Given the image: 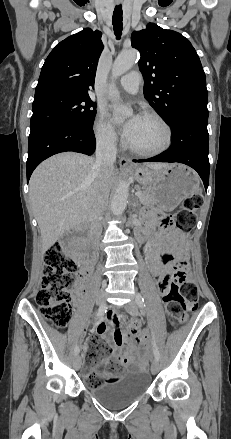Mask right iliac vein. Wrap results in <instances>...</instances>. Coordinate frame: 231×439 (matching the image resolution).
<instances>
[{"label":"right iliac vein","instance_id":"right-iliac-vein-1","mask_svg":"<svg viewBox=\"0 0 231 439\" xmlns=\"http://www.w3.org/2000/svg\"><path fill=\"white\" fill-rule=\"evenodd\" d=\"M105 297H106V295H105V291L101 290V291L98 293L97 297H96V303H97V305H98L99 307H103V308H105V310H106V309H107V306H106V304H105ZM103 314H104V313H100V316H102ZM73 364H74V368H75L76 370H79V369H80L81 364H82V360H81V357H80L79 354H76V355H75V357H74V361H73Z\"/></svg>","mask_w":231,"mask_h":439}]
</instances>
